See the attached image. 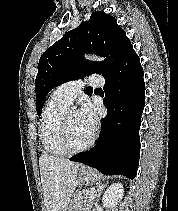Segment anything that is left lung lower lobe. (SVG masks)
Returning <instances> with one entry per match:
<instances>
[{"instance_id":"0a47b994","label":"left lung lower lobe","mask_w":178,"mask_h":211,"mask_svg":"<svg viewBox=\"0 0 178 211\" xmlns=\"http://www.w3.org/2000/svg\"><path fill=\"white\" fill-rule=\"evenodd\" d=\"M140 59L131 48L105 78L104 105L107 116L97 145L70 158L105 175L134 179L140 154L139 129L144 109L145 84Z\"/></svg>"}]
</instances>
